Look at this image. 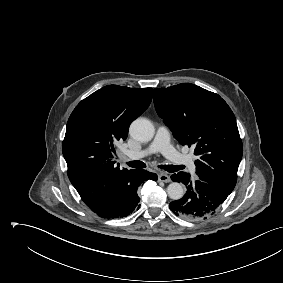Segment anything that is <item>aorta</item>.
I'll return each instance as SVG.
<instances>
[{
	"mask_svg": "<svg viewBox=\"0 0 283 283\" xmlns=\"http://www.w3.org/2000/svg\"><path fill=\"white\" fill-rule=\"evenodd\" d=\"M130 135L137 141L148 142L155 133V129L150 120L146 118H137L129 128ZM168 196L173 200H179L184 195V189L178 182H172L167 187Z\"/></svg>",
	"mask_w": 283,
	"mask_h": 283,
	"instance_id": "obj_1",
	"label": "aorta"
}]
</instances>
